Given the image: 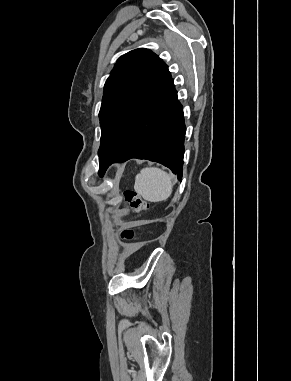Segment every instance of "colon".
<instances>
[{"instance_id": "1", "label": "colon", "mask_w": 291, "mask_h": 381, "mask_svg": "<svg viewBox=\"0 0 291 381\" xmlns=\"http://www.w3.org/2000/svg\"><path fill=\"white\" fill-rule=\"evenodd\" d=\"M125 200L129 207L136 213L146 212L149 210V204L140 199L134 192L127 191L125 193ZM121 239L130 242L135 239L136 232L131 227L124 228L120 233Z\"/></svg>"}]
</instances>
